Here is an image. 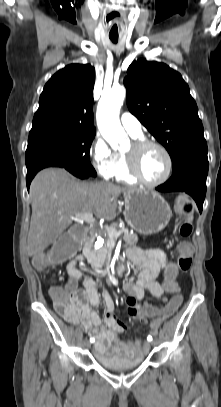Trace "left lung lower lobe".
I'll return each instance as SVG.
<instances>
[{"mask_svg": "<svg viewBox=\"0 0 221 407\" xmlns=\"http://www.w3.org/2000/svg\"><path fill=\"white\" fill-rule=\"evenodd\" d=\"M208 167L207 151L192 152L173 167L171 178L156 189L160 192H186L193 197L202 212Z\"/></svg>", "mask_w": 221, "mask_h": 407, "instance_id": "1", "label": "left lung lower lobe"}]
</instances>
